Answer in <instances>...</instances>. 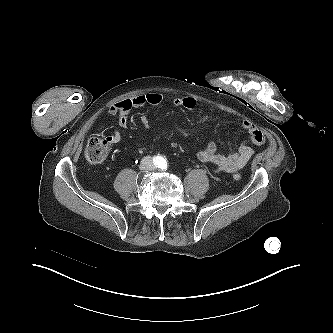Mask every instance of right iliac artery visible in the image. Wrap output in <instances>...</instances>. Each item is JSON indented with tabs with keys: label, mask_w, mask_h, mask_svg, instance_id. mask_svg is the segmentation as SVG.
Instances as JSON below:
<instances>
[{
	"label": "right iliac artery",
	"mask_w": 333,
	"mask_h": 333,
	"mask_svg": "<svg viewBox=\"0 0 333 333\" xmlns=\"http://www.w3.org/2000/svg\"><path fill=\"white\" fill-rule=\"evenodd\" d=\"M162 158L160 156L153 157V163L157 166L160 165Z\"/></svg>",
	"instance_id": "1"
}]
</instances>
